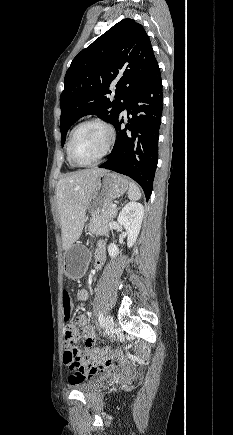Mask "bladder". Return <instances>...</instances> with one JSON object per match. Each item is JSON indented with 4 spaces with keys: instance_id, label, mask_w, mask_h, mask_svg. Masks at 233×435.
<instances>
[{
    "instance_id": "bladder-1",
    "label": "bladder",
    "mask_w": 233,
    "mask_h": 435,
    "mask_svg": "<svg viewBox=\"0 0 233 435\" xmlns=\"http://www.w3.org/2000/svg\"><path fill=\"white\" fill-rule=\"evenodd\" d=\"M106 376H101V375H95V376H93V381L92 382H90V383H86V384H82V385H79V384H71V385H77V389L78 390H80V391H82V392H88V391H91V390H95V389H98L100 386H101V384H102V382L104 381V380H106Z\"/></svg>"
}]
</instances>
